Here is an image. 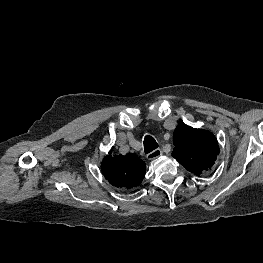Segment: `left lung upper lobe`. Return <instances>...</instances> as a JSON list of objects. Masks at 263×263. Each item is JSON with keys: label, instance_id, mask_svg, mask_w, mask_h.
Returning <instances> with one entry per match:
<instances>
[{"label": "left lung upper lobe", "instance_id": "left-lung-upper-lobe-1", "mask_svg": "<svg viewBox=\"0 0 263 263\" xmlns=\"http://www.w3.org/2000/svg\"><path fill=\"white\" fill-rule=\"evenodd\" d=\"M173 144L172 156L195 175L210 170L219 154V145L213 133L184 123L176 127Z\"/></svg>", "mask_w": 263, "mask_h": 263}]
</instances>
